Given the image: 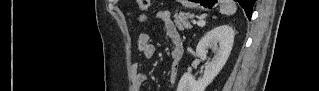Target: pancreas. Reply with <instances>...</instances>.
Returning <instances> with one entry per match:
<instances>
[{"label":"pancreas","mask_w":319,"mask_h":91,"mask_svg":"<svg viewBox=\"0 0 319 91\" xmlns=\"http://www.w3.org/2000/svg\"><path fill=\"white\" fill-rule=\"evenodd\" d=\"M194 17L193 14L190 13H185V12H181V13H176L174 15L175 18V25L177 26V28L181 31H183L185 28L186 29H191L192 26L189 23V19H192Z\"/></svg>","instance_id":"obj_1"}]
</instances>
